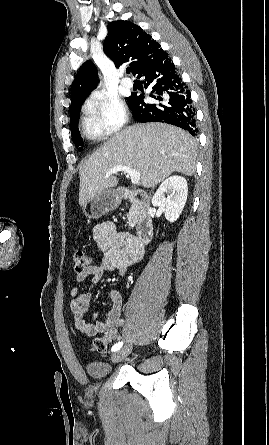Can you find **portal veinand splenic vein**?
Returning a JSON list of instances; mask_svg holds the SVG:
<instances>
[{
	"label": "portal vein and splenic vein",
	"instance_id": "obj_1",
	"mask_svg": "<svg viewBox=\"0 0 269 445\" xmlns=\"http://www.w3.org/2000/svg\"><path fill=\"white\" fill-rule=\"evenodd\" d=\"M118 172H124L128 176H130L132 184H138L140 181V172H138L135 169H132L129 166H123V165L115 166V167L111 168L106 173V175L110 176V175L118 173Z\"/></svg>",
	"mask_w": 269,
	"mask_h": 445
}]
</instances>
